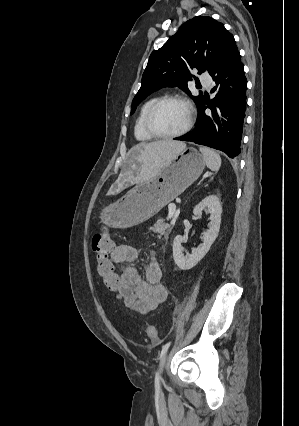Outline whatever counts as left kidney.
Wrapping results in <instances>:
<instances>
[{"label":"left kidney","mask_w":299,"mask_h":426,"mask_svg":"<svg viewBox=\"0 0 299 426\" xmlns=\"http://www.w3.org/2000/svg\"><path fill=\"white\" fill-rule=\"evenodd\" d=\"M210 214L209 228L202 233L203 243L192 249V253L184 256L182 243L184 237L178 235L173 241V258L181 270L193 268L209 251L211 245L216 240L221 224L222 206L216 195L205 197L193 210L197 218H201L202 212Z\"/></svg>","instance_id":"obj_1"}]
</instances>
